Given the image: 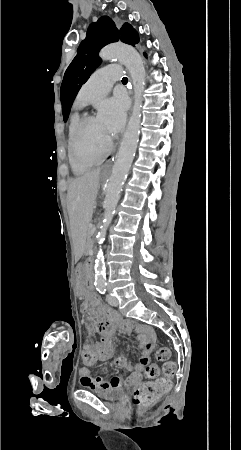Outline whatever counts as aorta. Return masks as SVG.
<instances>
[{"instance_id": "obj_1", "label": "aorta", "mask_w": 241, "mask_h": 450, "mask_svg": "<svg viewBox=\"0 0 241 450\" xmlns=\"http://www.w3.org/2000/svg\"><path fill=\"white\" fill-rule=\"evenodd\" d=\"M103 60L118 59L128 69L134 88L135 102L127 129L123 135L112 173L107 182L104 200V215L96 239L101 245L106 237V231L113 219L115 208L120 199L124 181L130 170L140 135L142 95L146 84V73L140 54L131 46L115 43L106 46L100 52ZM95 284L98 287L105 284V264L103 250L100 246L95 260Z\"/></svg>"}]
</instances>
